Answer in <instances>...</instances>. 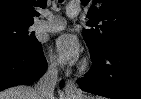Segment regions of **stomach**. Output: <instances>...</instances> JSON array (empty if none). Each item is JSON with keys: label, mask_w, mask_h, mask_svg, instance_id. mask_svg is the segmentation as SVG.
I'll list each match as a JSON object with an SVG mask.
<instances>
[{"label": "stomach", "mask_w": 141, "mask_h": 99, "mask_svg": "<svg viewBox=\"0 0 141 99\" xmlns=\"http://www.w3.org/2000/svg\"><path fill=\"white\" fill-rule=\"evenodd\" d=\"M69 99H88V98L87 96H80V97L74 96V97H69Z\"/></svg>", "instance_id": "1"}]
</instances>
